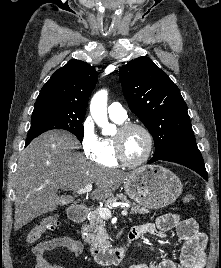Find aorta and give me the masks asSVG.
Returning a JSON list of instances; mask_svg holds the SVG:
<instances>
[{"instance_id":"obj_1","label":"aorta","mask_w":221,"mask_h":268,"mask_svg":"<svg viewBox=\"0 0 221 268\" xmlns=\"http://www.w3.org/2000/svg\"><path fill=\"white\" fill-rule=\"evenodd\" d=\"M107 99V90L98 91L91 100L90 113L95 123L102 129V132L110 134L115 130V126L108 122Z\"/></svg>"}]
</instances>
